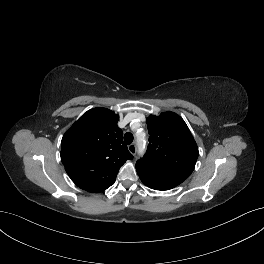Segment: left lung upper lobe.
Listing matches in <instances>:
<instances>
[{
	"instance_id": "1",
	"label": "left lung upper lobe",
	"mask_w": 264,
	"mask_h": 264,
	"mask_svg": "<svg viewBox=\"0 0 264 264\" xmlns=\"http://www.w3.org/2000/svg\"><path fill=\"white\" fill-rule=\"evenodd\" d=\"M149 144L144 157L137 161L136 170L154 165L183 182L194 170L197 144L184 120L173 112L150 116L146 120Z\"/></svg>"
}]
</instances>
